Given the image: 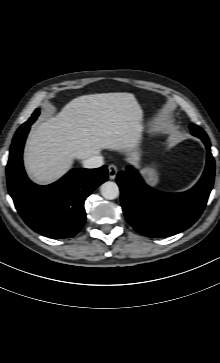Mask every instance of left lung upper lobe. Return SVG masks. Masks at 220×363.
<instances>
[{
    "label": "left lung upper lobe",
    "mask_w": 220,
    "mask_h": 363,
    "mask_svg": "<svg viewBox=\"0 0 220 363\" xmlns=\"http://www.w3.org/2000/svg\"><path fill=\"white\" fill-rule=\"evenodd\" d=\"M190 129L194 136H200V135L206 136L204 130L195 124H190Z\"/></svg>",
    "instance_id": "1"
}]
</instances>
